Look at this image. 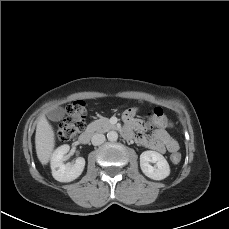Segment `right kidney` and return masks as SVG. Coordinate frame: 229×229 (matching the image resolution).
I'll list each match as a JSON object with an SVG mask.
<instances>
[{"label":"right kidney","mask_w":229,"mask_h":229,"mask_svg":"<svg viewBox=\"0 0 229 229\" xmlns=\"http://www.w3.org/2000/svg\"><path fill=\"white\" fill-rule=\"evenodd\" d=\"M69 149V145H62L53 152L51 157L52 175L59 182L75 180L82 174L85 167V159L83 157H78L73 165L70 163L64 164L65 155Z\"/></svg>","instance_id":"obj_1"}]
</instances>
